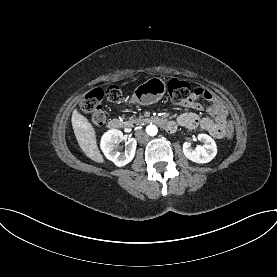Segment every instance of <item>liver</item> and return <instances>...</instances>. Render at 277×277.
<instances>
[{"label":"liver","instance_id":"liver-1","mask_svg":"<svg viewBox=\"0 0 277 277\" xmlns=\"http://www.w3.org/2000/svg\"><path fill=\"white\" fill-rule=\"evenodd\" d=\"M71 120L75 137L82 151L91 160L97 163H104V158L98 148L96 134L92 124L76 109L72 114Z\"/></svg>","mask_w":277,"mask_h":277}]
</instances>
